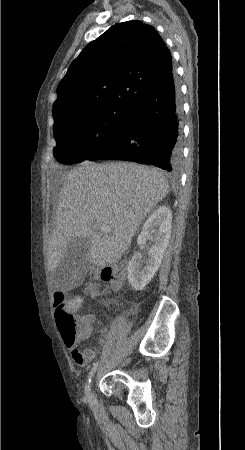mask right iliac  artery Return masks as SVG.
<instances>
[{
    "label": "right iliac artery",
    "instance_id": "82829eb1",
    "mask_svg": "<svg viewBox=\"0 0 245 450\" xmlns=\"http://www.w3.org/2000/svg\"><path fill=\"white\" fill-rule=\"evenodd\" d=\"M97 367H98V362L93 364V367H92V369L89 372L88 379H87V384H86V388H85L87 396L89 394V383L91 382V378L93 377L94 373L96 372Z\"/></svg>",
    "mask_w": 245,
    "mask_h": 450
}]
</instances>
